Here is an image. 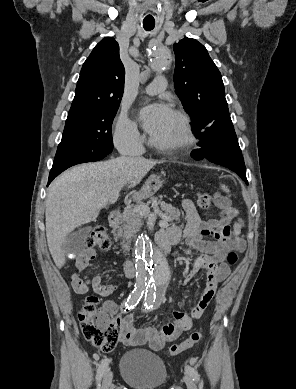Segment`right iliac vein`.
<instances>
[{
  "label": "right iliac vein",
  "instance_id": "obj_1",
  "mask_svg": "<svg viewBox=\"0 0 296 389\" xmlns=\"http://www.w3.org/2000/svg\"><path fill=\"white\" fill-rule=\"evenodd\" d=\"M112 379H113V374L111 371H106L104 377H103V381H102V387L101 389H109V387L111 386V383H112Z\"/></svg>",
  "mask_w": 296,
  "mask_h": 389
}]
</instances>
